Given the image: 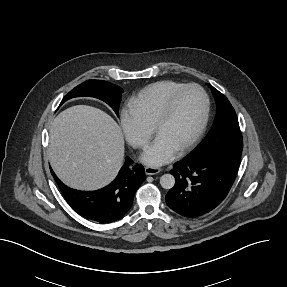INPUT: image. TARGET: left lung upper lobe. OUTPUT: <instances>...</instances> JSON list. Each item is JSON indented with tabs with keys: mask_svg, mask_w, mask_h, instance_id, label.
<instances>
[{
	"mask_svg": "<svg viewBox=\"0 0 287 287\" xmlns=\"http://www.w3.org/2000/svg\"><path fill=\"white\" fill-rule=\"evenodd\" d=\"M208 85L217 104L214 125L204 141L189 156L197 153L218 155L223 150L242 152L243 140L234 108L221 92Z\"/></svg>",
	"mask_w": 287,
	"mask_h": 287,
	"instance_id": "left-lung-upper-lobe-1",
	"label": "left lung upper lobe"
}]
</instances>
